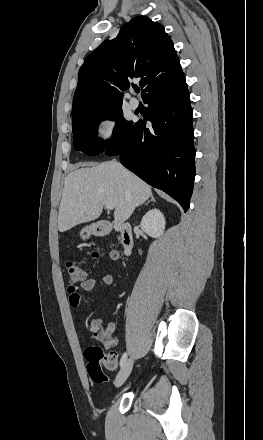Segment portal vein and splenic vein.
<instances>
[{"label":"portal vein and splenic vein","instance_id":"portal-vein-and-splenic-vein-1","mask_svg":"<svg viewBox=\"0 0 263 440\" xmlns=\"http://www.w3.org/2000/svg\"><path fill=\"white\" fill-rule=\"evenodd\" d=\"M105 206H106V208H107L108 210H112V209L115 208L114 203L111 202V201H107V202L105 203Z\"/></svg>","mask_w":263,"mask_h":440}]
</instances>
